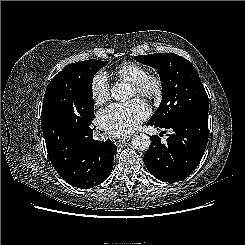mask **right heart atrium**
I'll return each instance as SVG.
<instances>
[{"label": "right heart atrium", "mask_w": 245, "mask_h": 245, "mask_svg": "<svg viewBox=\"0 0 245 245\" xmlns=\"http://www.w3.org/2000/svg\"><path fill=\"white\" fill-rule=\"evenodd\" d=\"M110 83L106 73H95L90 82V92L96 106L105 104L110 98Z\"/></svg>", "instance_id": "d8ad5b80"}]
</instances>
